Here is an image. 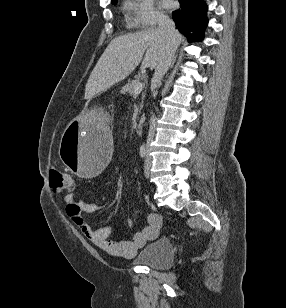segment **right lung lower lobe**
Returning <instances> with one entry per match:
<instances>
[{"label": "right lung lower lobe", "mask_w": 286, "mask_h": 308, "mask_svg": "<svg viewBox=\"0 0 286 308\" xmlns=\"http://www.w3.org/2000/svg\"><path fill=\"white\" fill-rule=\"evenodd\" d=\"M180 9L172 12L176 27L189 41L202 40L204 30L208 24L207 7L202 0H178ZM193 32V34H190Z\"/></svg>", "instance_id": "obj_1"}]
</instances>
